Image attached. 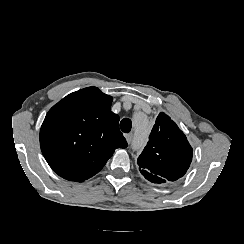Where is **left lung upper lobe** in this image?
I'll use <instances>...</instances> for the list:
<instances>
[{"label": "left lung upper lobe", "instance_id": "left-lung-upper-lobe-1", "mask_svg": "<svg viewBox=\"0 0 244 244\" xmlns=\"http://www.w3.org/2000/svg\"><path fill=\"white\" fill-rule=\"evenodd\" d=\"M192 156V147L185 134L168 115L161 112L137 164L147 180L161 184L184 176Z\"/></svg>", "mask_w": 244, "mask_h": 244}]
</instances>
